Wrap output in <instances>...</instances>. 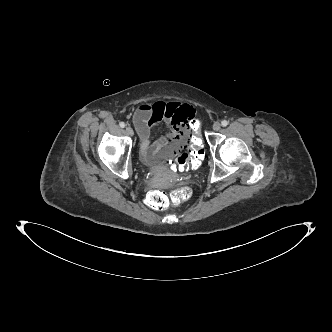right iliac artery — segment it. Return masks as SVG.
<instances>
[{
    "label": "right iliac artery",
    "mask_w": 332,
    "mask_h": 332,
    "mask_svg": "<svg viewBox=\"0 0 332 332\" xmlns=\"http://www.w3.org/2000/svg\"><path fill=\"white\" fill-rule=\"evenodd\" d=\"M119 125H120L121 128H124V127H125V123H124V122H120Z\"/></svg>",
    "instance_id": "obj_1"
}]
</instances>
